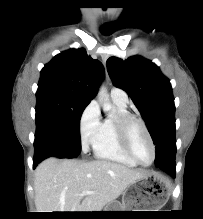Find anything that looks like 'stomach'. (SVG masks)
<instances>
[{"instance_id":"obj_1","label":"stomach","mask_w":203,"mask_h":219,"mask_svg":"<svg viewBox=\"0 0 203 219\" xmlns=\"http://www.w3.org/2000/svg\"><path fill=\"white\" fill-rule=\"evenodd\" d=\"M168 198L169 189L166 181L156 174L148 173L129 185L123 194L122 202L113 201L103 211H159ZM102 215L112 214L106 212Z\"/></svg>"}]
</instances>
